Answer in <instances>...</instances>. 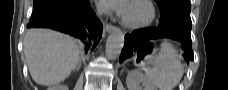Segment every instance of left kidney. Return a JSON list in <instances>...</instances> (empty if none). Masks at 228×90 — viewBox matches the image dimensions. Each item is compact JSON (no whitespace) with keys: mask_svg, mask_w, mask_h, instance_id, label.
<instances>
[{"mask_svg":"<svg viewBox=\"0 0 228 90\" xmlns=\"http://www.w3.org/2000/svg\"><path fill=\"white\" fill-rule=\"evenodd\" d=\"M142 83L143 89L139 86ZM128 90H156L155 86L139 71L133 70L126 78Z\"/></svg>","mask_w":228,"mask_h":90,"instance_id":"left-kidney-1","label":"left kidney"}]
</instances>
